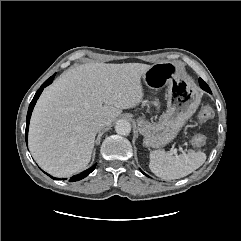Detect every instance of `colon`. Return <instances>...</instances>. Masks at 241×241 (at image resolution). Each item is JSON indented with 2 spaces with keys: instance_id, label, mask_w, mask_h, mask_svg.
<instances>
[{
  "instance_id": "1",
  "label": "colon",
  "mask_w": 241,
  "mask_h": 241,
  "mask_svg": "<svg viewBox=\"0 0 241 241\" xmlns=\"http://www.w3.org/2000/svg\"><path fill=\"white\" fill-rule=\"evenodd\" d=\"M212 117H213V109L208 105L202 106L198 113L199 122L205 123L208 120H210ZM205 142H206V138L202 134H198L192 139V144L197 147L203 146Z\"/></svg>"
}]
</instances>
